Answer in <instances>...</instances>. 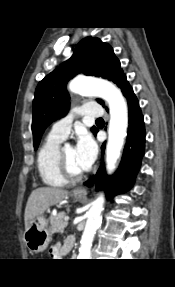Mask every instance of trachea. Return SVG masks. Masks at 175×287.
I'll use <instances>...</instances> for the list:
<instances>
[{"label": "trachea", "instance_id": "3493384b", "mask_svg": "<svg viewBox=\"0 0 175 287\" xmlns=\"http://www.w3.org/2000/svg\"><path fill=\"white\" fill-rule=\"evenodd\" d=\"M96 122H98V123H103L104 120H103L102 118H98V119L96 120Z\"/></svg>", "mask_w": 175, "mask_h": 287}]
</instances>
